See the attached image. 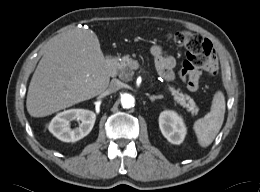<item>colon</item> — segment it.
I'll return each instance as SVG.
<instances>
[{
  "label": "colon",
  "mask_w": 260,
  "mask_h": 192,
  "mask_svg": "<svg viewBox=\"0 0 260 192\" xmlns=\"http://www.w3.org/2000/svg\"><path fill=\"white\" fill-rule=\"evenodd\" d=\"M167 37L186 49V59L182 63L180 76L190 90L197 89L201 71L217 65L211 42L186 30L169 33Z\"/></svg>",
  "instance_id": "obj_1"
}]
</instances>
